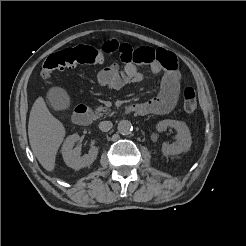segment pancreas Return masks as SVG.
<instances>
[{
    "instance_id": "cf45deb5",
    "label": "pancreas",
    "mask_w": 246,
    "mask_h": 246,
    "mask_svg": "<svg viewBox=\"0 0 246 246\" xmlns=\"http://www.w3.org/2000/svg\"><path fill=\"white\" fill-rule=\"evenodd\" d=\"M111 115V110L107 107H103V106H99L94 114V119H98L100 117H102L103 115Z\"/></svg>"
}]
</instances>
